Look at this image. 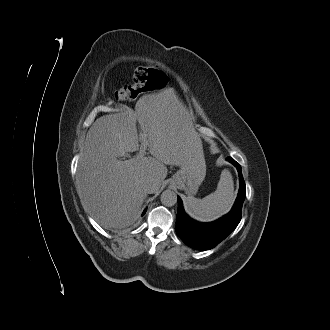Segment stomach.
<instances>
[{"instance_id":"0dacf381","label":"stomach","mask_w":330,"mask_h":330,"mask_svg":"<svg viewBox=\"0 0 330 330\" xmlns=\"http://www.w3.org/2000/svg\"><path fill=\"white\" fill-rule=\"evenodd\" d=\"M206 176V164L202 151L192 154L173 175L172 185L192 196L197 193L199 186Z\"/></svg>"}]
</instances>
